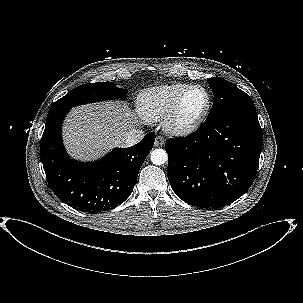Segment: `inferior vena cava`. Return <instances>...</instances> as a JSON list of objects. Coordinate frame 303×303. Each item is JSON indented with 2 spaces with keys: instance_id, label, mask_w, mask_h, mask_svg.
I'll list each match as a JSON object with an SVG mask.
<instances>
[{
  "instance_id": "602c4592",
  "label": "inferior vena cava",
  "mask_w": 303,
  "mask_h": 303,
  "mask_svg": "<svg viewBox=\"0 0 303 303\" xmlns=\"http://www.w3.org/2000/svg\"><path fill=\"white\" fill-rule=\"evenodd\" d=\"M144 131L138 129H131L124 134L122 137V146L130 147L138 142H140L144 138Z\"/></svg>"
}]
</instances>
